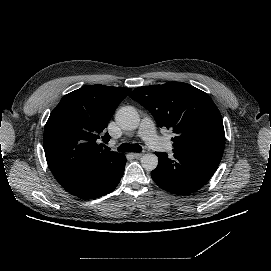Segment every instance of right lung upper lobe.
<instances>
[{"instance_id":"cb5924a9","label":"right lung upper lobe","mask_w":271,"mask_h":271,"mask_svg":"<svg viewBox=\"0 0 271 271\" xmlns=\"http://www.w3.org/2000/svg\"><path fill=\"white\" fill-rule=\"evenodd\" d=\"M131 89L84 86L65 95L44 128L43 147L48 166L64 189L82 183L115 165L121 153L105 151L98 139L113 112ZM110 139L108 133L102 137Z\"/></svg>"}]
</instances>
